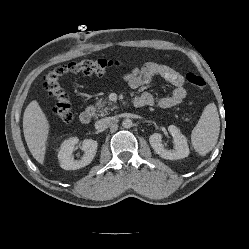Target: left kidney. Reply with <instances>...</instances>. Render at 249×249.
Masks as SVG:
<instances>
[{"label": "left kidney", "instance_id": "1", "mask_svg": "<svg viewBox=\"0 0 249 249\" xmlns=\"http://www.w3.org/2000/svg\"><path fill=\"white\" fill-rule=\"evenodd\" d=\"M168 131L173 137L175 148L173 150L165 149L162 144V135L160 133H154L149 137V142L155 153L160 157L169 160H177L187 157L189 155V147L186 137L174 125H170Z\"/></svg>", "mask_w": 249, "mask_h": 249}]
</instances>
